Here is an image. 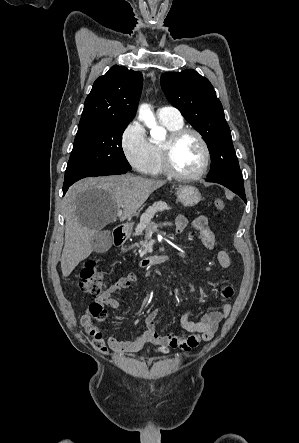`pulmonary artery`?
<instances>
[{
	"label": "pulmonary artery",
	"instance_id": "e3ab8cb5",
	"mask_svg": "<svg viewBox=\"0 0 299 443\" xmlns=\"http://www.w3.org/2000/svg\"><path fill=\"white\" fill-rule=\"evenodd\" d=\"M158 113V117L161 120H167V121H172V122H176V123H181L183 122V117L180 113V111L172 106H164V107H160L157 111Z\"/></svg>",
	"mask_w": 299,
	"mask_h": 443
}]
</instances>
